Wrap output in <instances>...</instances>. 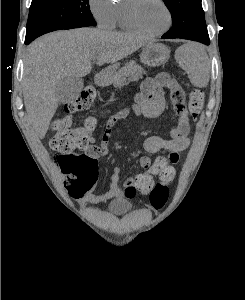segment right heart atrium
I'll list each match as a JSON object with an SVG mask.
<instances>
[{
    "mask_svg": "<svg viewBox=\"0 0 245 300\" xmlns=\"http://www.w3.org/2000/svg\"><path fill=\"white\" fill-rule=\"evenodd\" d=\"M89 10L102 28H112L115 18V3L113 0H88Z\"/></svg>",
    "mask_w": 245,
    "mask_h": 300,
    "instance_id": "d8ad5b80",
    "label": "right heart atrium"
}]
</instances>
